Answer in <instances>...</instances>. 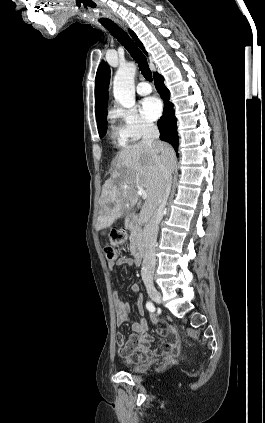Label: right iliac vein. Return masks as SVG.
Listing matches in <instances>:
<instances>
[{
	"mask_svg": "<svg viewBox=\"0 0 265 423\" xmlns=\"http://www.w3.org/2000/svg\"><path fill=\"white\" fill-rule=\"evenodd\" d=\"M145 286L147 289L148 295L151 297V299L157 303H160L162 301V296L160 292L155 288V286L152 284L151 281H145Z\"/></svg>",
	"mask_w": 265,
	"mask_h": 423,
	"instance_id": "1",
	"label": "right iliac vein"
}]
</instances>
